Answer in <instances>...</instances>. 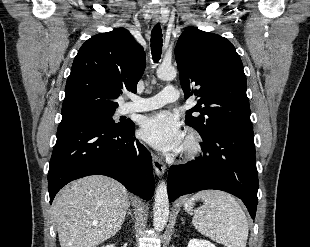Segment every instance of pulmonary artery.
Listing matches in <instances>:
<instances>
[{
    "mask_svg": "<svg viewBox=\"0 0 310 247\" xmlns=\"http://www.w3.org/2000/svg\"><path fill=\"white\" fill-rule=\"evenodd\" d=\"M179 98V91L175 86L167 85L158 94L149 98L132 97L131 101L124 103L121 113L142 112L159 108Z\"/></svg>",
    "mask_w": 310,
    "mask_h": 247,
    "instance_id": "e3ab8cb5",
    "label": "pulmonary artery"
}]
</instances>
